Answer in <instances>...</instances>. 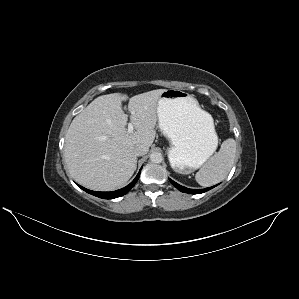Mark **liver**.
Segmentation results:
<instances>
[{
  "instance_id": "obj_1",
  "label": "liver",
  "mask_w": 299,
  "mask_h": 299,
  "mask_svg": "<svg viewBox=\"0 0 299 299\" xmlns=\"http://www.w3.org/2000/svg\"><path fill=\"white\" fill-rule=\"evenodd\" d=\"M164 89L128 98L121 93L94 99L71 122L65 136L64 159L75 181L96 191H112L125 185L137 166L134 148L152 145L158 120L157 105ZM128 110L135 132L126 131Z\"/></svg>"
}]
</instances>
